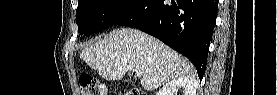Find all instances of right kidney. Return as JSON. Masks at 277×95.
Masks as SVG:
<instances>
[{
	"mask_svg": "<svg viewBox=\"0 0 277 95\" xmlns=\"http://www.w3.org/2000/svg\"><path fill=\"white\" fill-rule=\"evenodd\" d=\"M198 84L192 77H180L166 83L156 95H176L179 88H184V95H196Z\"/></svg>",
	"mask_w": 277,
	"mask_h": 95,
	"instance_id": "1",
	"label": "right kidney"
}]
</instances>
